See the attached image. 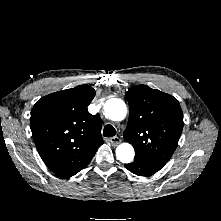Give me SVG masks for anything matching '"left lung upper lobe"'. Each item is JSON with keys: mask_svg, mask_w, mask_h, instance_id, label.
<instances>
[{"mask_svg": "<svg viewBox=\"0 0 221 221\" xmlns=\"http://www.w3.org/2000/svg\"><path fill=\"white\" fill-rule=\"evenodd\" d=\"M125 98L130 111L125 141L133 145L136 157L166 163L183 129L178 100L146 85L131 88Z\"/></svg>", "mask_w": 221, "mask_h": 221, "instance_id": "obj_1", "label": "left lung upper lobe"}]
</instances>
